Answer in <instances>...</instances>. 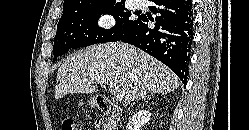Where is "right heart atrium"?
Returning <instances> with one entry per match:
<instances>
[{"mask_svg": "<svg viewBox=\"0 0 249 130\" xmlns=\"http://www.w3.org/2000/svg\"><path fill=\"white\" fill-rule=\"evenodd\" d=\"M93 24L99 30L108 31L115 26L116 19L112 13L105 11L94 17Z\"/></svg>", "mask_w": 249, "mask_h": 130, "instance_id": "right-heart-atrium-1", "label": "right heart atrium"}]
</instances>
